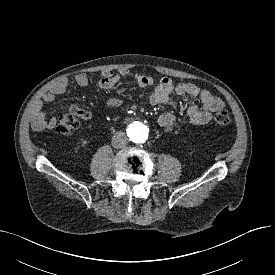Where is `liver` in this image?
Instances as JSON below:
<instances>
[{
  "mask_svg": "<svg viewBox=\"0 0 275 275\" xmlns=\"http://www.w3.org/2000/svg\"><path fill=\"white\" fill-rule=\"evenodd\" d=\"M43 116H44V114H42V113H40V114H39V117H41V118H42Z\"/></svg>",
  "mask_w": 275,
  "mask_h": 275,
  "instance_id": "1",
  "label": "liver"
}]
</instances>
